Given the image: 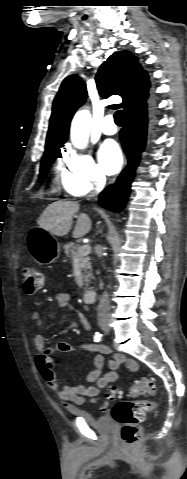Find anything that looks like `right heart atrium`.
I'll list each match as a JSON object with an SVG mask.
<instances>
[{
    "mask_svg": "<svg viewBox=\"0 0 187 479\" xmlns=\"http://www.w3.org/2000/svg\"><path fill=\"white\" fill-rule=\"evenodd\" d=\"M62 190L71 197L87 196L101 190L107 181L103 169L90 153L67 149L57 162Z\"/></svg>",
    "mask_w": 187,
    "mask_h": 479,
    "instance_id": "right-heart-atrium-1",
    "label": "right heart atrium"
}]
</instances>
